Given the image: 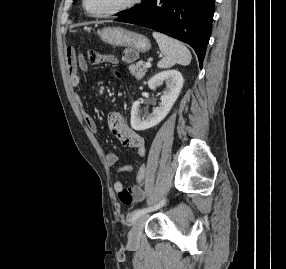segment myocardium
<instances>
[{
	"instance_id": "myocardium-1",
	"label": "myocardium",
	"mask_w": 286,
	"mask_h": 269,
	"mask_svg": "<svg viewBox=\"0 0 286 269\" xmlns=\"http://www.w3.org/2000/svg\"><path fill=\"white\" fill-rule=\"evenodd\" d=\"M88 0H83L82 4H83V8L85 10V12L94 18H109L124 12H127L129 10H131L132 8L136 7L138 4H140L142 2V0H128L125 4H123L120 7H117L115 9L106 11V12H102V13H93L89 10L88 5H87Z\"/></svg>"
}]
</instances>
